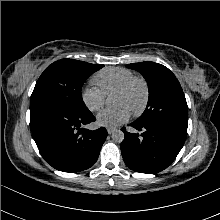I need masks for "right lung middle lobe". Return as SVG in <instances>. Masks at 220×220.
Returning a JSON list of instances; mask_svg holds the SVG:
<instances>
[{"label": "right lung middle lobe", "instance_id": "1", "mask_svg": "<svg viewBox=\"0 0 220 220\" xmlns=\"http://www.w3.org/2000/svg\"><path fill=\"white\" fill-rule=\"evenodd\" d=\"M104 67L73 59H62L52 63L39 77L31 102L48 101L74 111H87L81 88L85 80Z\"/></svg>", "mask_w": 220, "mask_h": 220}]
</instances>
